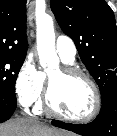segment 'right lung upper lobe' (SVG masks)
Masks as SVG:
<instances>
[{"label": "right lung upper lobe", "mask_w": 117, "mask_h": 136, "mask_svg": "<svg viewBox=\"0 0 117 136\" xmlns=\"http://www.w3.org/2000/svg\"><path fill=\"white\" fill-rule=\"evenodd\" d=\"M26 0H0V55L25 57Z\"/></svg>", "instance_id": "right-lung-upper-lobe-1"}]
</instances>
